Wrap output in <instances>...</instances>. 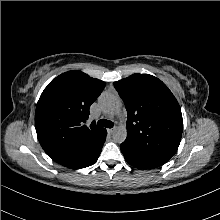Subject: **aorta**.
I'll use <instances>...</instances> for the list:
<instances>
[{
    "mask_svg": "<svg viewBox=\"0 0 220 220\" xmlns=\"http://www.w3.org/2000/svg\"><path fill=\"white\" fill-rule=\"evenodd\" d=\"M99 103L101 108L109 113L116 114L120 111V102L112 94H102L99 98ZM127 136V130L125 126H117L113 130V140L117 143H122L125 141Z\"/></svg>",
    "mask_w": 220,
    "mask_h": 220,
    "instance_id": "obj_1",
    "label": "aorta"
}]
</instances>
